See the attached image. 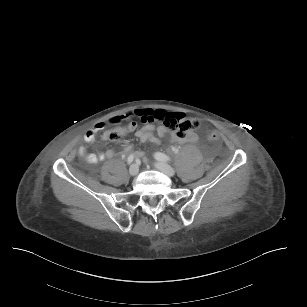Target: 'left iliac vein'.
<instances>
[{"instance_id":"1","label":"left iliac vein","mask_w":307,"mask_h":307,"mask_svg":"<svg viewBox=\"0 0 307 307\" xmlns=\"http://www.w3.org/2000/svg\"><path fill=\"white\" fill-rule=\"evenodd\" d=\"M155 167L169 177L174 176V174H175L174 168H172L171 166H169L165 162H157V163H155Z\"/></svg>"}]
</instances>
